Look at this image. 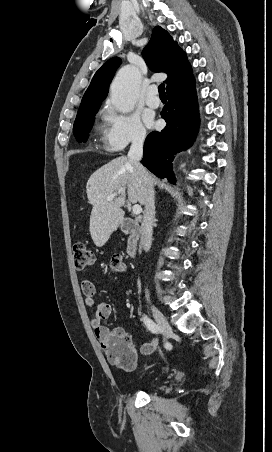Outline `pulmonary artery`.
<instances>
[{"label":"pulmonary artery","mask_w":272,"mask_h":452,"mask_svg":"<svg viewBox=\"0 0 272 452\" xmlns=\"http://www.w3.org/2000/svg\"><path fill=\"white\" fill-rule=\"evenodd\" d=\"M145 101L146 104L151 108H158L160 106V99L157 96L156 86L152 85L148 88Z\"/></svg>","instance_id":"pulmonary-artery-1"}]
</instances>
